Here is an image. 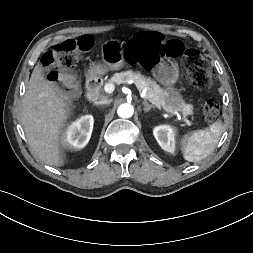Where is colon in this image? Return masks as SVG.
Masks as SVG:
<instances>
[{
  "label": "colon",
  "mask_w": 253,
  "mask_h": 253,
  "mask_svg": "<svg viewBox=\"0 0 253 253\" xmlns=\"http://www.w3.org/2000/svg\"><path fill=\"white\" fill-rule=\"evenodd\" d=\"M89 47L87 39L68 40L55 45L42 58L48 70V78L62 82L69 94L77 90L76 82L70 71L78 61L79 53ZM182 57V78L191 87L204 89L214 82V72L206 59L195 49H185L178 40L165 39L160 34H136L126 45V56L131 63L144 67L152 66L158 54ZM220 105L215 99H208L203 106L206 121L215 122L220 117Z\"/></svg>",
  "instance_id": "obj_1"
}]
</instances>
